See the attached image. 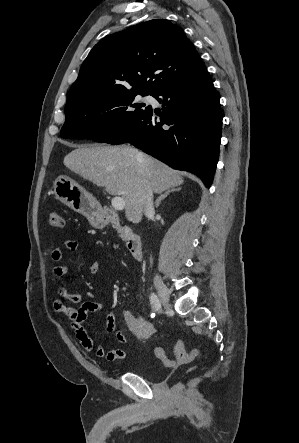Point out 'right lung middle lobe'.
<instances>
[{
	"instance_id": "dd1d6c3e",
	"label": "right lung middle lobe",
	"mask_w": 299,
	"mask_h": 443,
	"mask_svg": "<svg viewBox=\"0 0 299 443\" xmlns=\"http://www.w3.org/2000/svg\"><path fill=\"white\" fill-rule=\"evenodd\" d=\"M144 92L103 95L65 106L66 121L61 137L106 142L120 133L128 123L146 113L151 106L135 103Z\"/></svg>"
}]
</instances>
